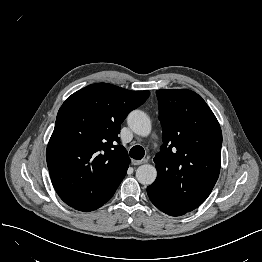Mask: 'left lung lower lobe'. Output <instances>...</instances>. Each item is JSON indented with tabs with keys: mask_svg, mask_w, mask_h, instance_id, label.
<instances>
[{
	"mask_svg": "<svg viewBox=\"0 0 262 262\" xmlns=\"http://www.w3.org/2000/svg\"><path fill=\"white\" fill-rule=\"evenodd\" d=\"M147 194L151 202L162 212L171 216H181L186 212L181 211L172 205H170L163 197L155 193L151 186L147 187Z\"/></svg>",
	"mask_w": 262,
	"mask_h": 262,
	"instance_id": "0a47b994",
	"label": "left lung lower lobe"
}]
</instances>
